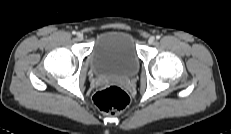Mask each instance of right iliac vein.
<instances>
[{
  "label": "right iliac vein",
  "instance_id": "right-iliac-vein-1",
  "mask_svg": "<svg viewBox=\"0 0 231 134\" xmlns=\"http://www.w3.org/2000/svg\"><path fill=\"white\" fill-rule=\"evenodd\" d=\"M77 39H78L79 41L83 40V34L80 33V32H78V33H77Z\"/></svg>",
  "mask_w": 231,
  "mask_h": 134
}]
</instances>
